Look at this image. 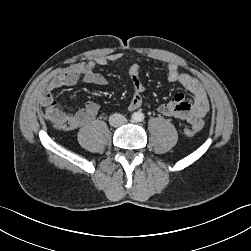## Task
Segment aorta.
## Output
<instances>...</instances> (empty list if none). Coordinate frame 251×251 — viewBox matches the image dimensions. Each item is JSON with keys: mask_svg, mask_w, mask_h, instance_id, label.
Segmentation results:
<instances>
[{"mask_svg": "<svg viewBox=\"0 0 251 251\" xmlns=\"http://www.w3.org/2000/svg\"><path fill=\"white\" fill-rule=\"evenodd\" d=\"M132 118L135 122H141L144 120V114L141 112H135Z\"/></svg>", "mask_w": 251, "mask_h": 251, "instance_id": "obj_1", "label": "aorta"}]
</instances>
